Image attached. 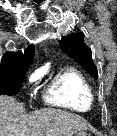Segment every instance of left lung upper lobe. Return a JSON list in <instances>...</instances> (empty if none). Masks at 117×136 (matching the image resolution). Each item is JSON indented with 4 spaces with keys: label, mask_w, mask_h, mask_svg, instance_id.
Instances as JSON below:
<instances>
[{
    "label": "left lung upper lobe",
    "mask_w": 117,
    "mask_h": 136,
    "mask_svg": "<svg viewBox=\"0 0 117 136\" xmlns=\"http://www.w3.org/2000/svg\"><path fill=\"white\" fill-rule=\"evenodd\" d=\"M84 34L72 33L63 37L60 46L72 59L77 61L95 79L98 77L97 68L92 60L91 49L83 42Z\"/></svg>",
    "instance_id": "obj_1"
}]
</instances>
